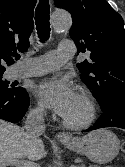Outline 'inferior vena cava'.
I'll use <instances>...</instances> for the list:
<instances>
[{
  "label": "inferior vena cava",
  "instance_id": "obj_1",
  "mask_svg": "<svg viewBox=\"0 0 125 167\" xmlns=\"http://www.w3.org/2000/svg\"><path fill=\"white\" fill-rule=\"evenodd\" d=\"M25 129L27 134L32 138H37L44 133L45 123L42 108L33 109L28 113Z\"/></svg>",
  "mask_w": 125,
  "mask_h": 167
}]
</instances>
